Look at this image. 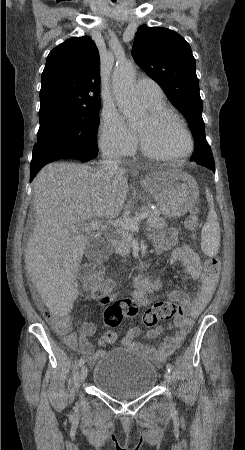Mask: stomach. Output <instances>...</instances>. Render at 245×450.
<instances>
[{
	"mask_svg": "<svg viewBox=\"0 0 245 450\" xmlns=\"http://www.w3.org/2000/svg\"><path fill=\"white\" fill-rule=\"evenodd\" d=\"M142 186L167 218L184 216L199 197L196 180L191 175L174 169L161 168L152 172L142 181Z\"/></svg>",
	"mask_w": 245,
	"mask_h": 450,
	"instance_id": "0dacf381",
	"label": "stomach"
}]
</instances>
